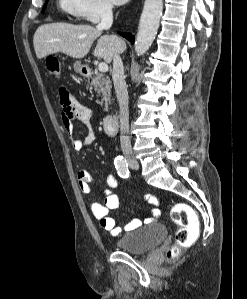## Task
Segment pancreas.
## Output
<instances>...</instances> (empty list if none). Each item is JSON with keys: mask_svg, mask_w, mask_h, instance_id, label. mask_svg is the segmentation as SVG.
I'll return each instance as SVG.
<instances>
[{"mask_svg": "<svg viewBox=\"0 0 247 299\" xmlns=\"http://www.w3.org/2000/svg\"><path fill=\"white\" fill-rule=\"evenodd\" d=\"M91 86H93L99 95H102V101L105 102V111L108 110V103L111 102V81L109 77H105L101 73H97L93 76L91 81Z\"/></svg>", "mask_w": 247, "mask_h": 299, "instance_id": "1", "label": "pancreas"}]
</instances>
